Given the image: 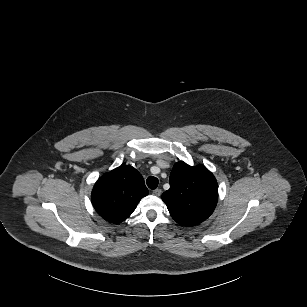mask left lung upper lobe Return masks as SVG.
Returning <instances> with one entry per match:
<instances>
[{
    "label": "left lung upper lobe",
    "instance_id": "obj_1",
    "mask_svg": "<svg viewBox=\"0 0 307 307\" xmlns=\"http://www.w3.org/2000/svg\"><path fill=\"white\" fill-rule=\"evenodd\" d=\"M162 200L172 218L180 225H195L207 219L218 200V185L204 166H189L177 162L170 174V189Z\"/></svg>",
    "mask_w": 307,
    "mask_h": 307
}]
</instances>
